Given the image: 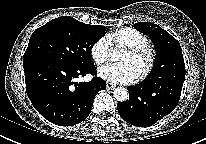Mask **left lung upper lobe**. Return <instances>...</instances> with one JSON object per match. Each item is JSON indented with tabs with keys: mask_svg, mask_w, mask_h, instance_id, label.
<instances>
[{
	"mask_svg": "<svg viewBox=\"0 0 206 144\" xmlns=\"http://www.w3.org/2000/svg\"><path fill=\"white\" fill-rule=\"evenodd\" d=\"M134 28L152 40L156 49L154 67L144 84H155L167 74L185 70L184 59L179 42L167 31L150 22H139Z\"/></svg>",
	"mask_w": 206,
	"mask_h": 144,
	"instance_id": "obj_1",
	"label": "left lung upper lobe"
}]
</instances>
